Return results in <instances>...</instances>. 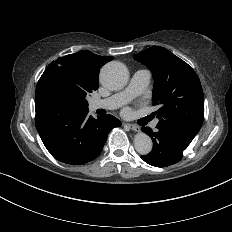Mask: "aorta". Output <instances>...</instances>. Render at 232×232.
Masks as SVG:
<instances>
[{
	"mask_svg": "<svg viewBox=\"0 0 232 232\" xmlns=\"http://www.w3.org/2000/svg\"><path fill=\"white\" fill-rule=\"evenodd\" d=\"M99 77L104 87L115 91L126 86L129 72L124 64L118 61H111L101 68ZM134 147L138 153L146 155L151 152L153 143L147 134L140 132L134 138Z\"/></svg>",
	"mask_w": 232,
	"mask_h": 232,
	"instance_id": "obj_1",
	"label": "aorta"
}]
</instances>
